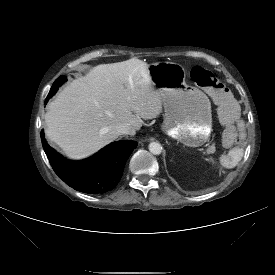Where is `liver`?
<instances>
[{
	"label": "liver",
	"instance_id": "obj_1",
	"mask_svg": "<svg viewBox=\"0 0 275 275\" xmlns=\"http://www.w3.org/2000/svg\"><path fill=\"white\" fill-rule=\"evenodd\" d=\"M148 64L137 59L98 65L67 84L45 114L46 137L70 158H84L116 139L111 129L156 118L162 100L154 90Z\"/></svg>",
	"mask_w": 275,
	"mask_h": 275
}]
</instances>
